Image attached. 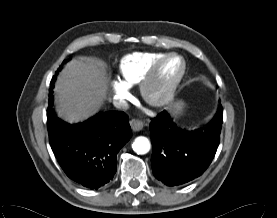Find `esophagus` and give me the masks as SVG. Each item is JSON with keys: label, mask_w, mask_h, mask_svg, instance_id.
Here are the masks:
<instances>
[{"label": "esophagus", "mask_w": 277, "mask_h": 218, "mask_svg": "<svg viewBox=\"0 0 277 218\" xmlns=\"http://www.w3.org/2000/svg\"><path fill=\"white\" fill-rule=\"evenodd\" d=\"M130 126L133 131H140L142 130L144 123L139 119H132L130 121Z\"/></svg>", "instance_id": "34e87169"}]
</instances>
